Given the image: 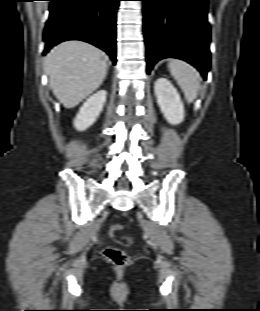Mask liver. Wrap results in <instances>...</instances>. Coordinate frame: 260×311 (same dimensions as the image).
<instances>
[{"label": "liver", "mask_w": 260, "mask_h": 311, "mask_svg": "<svg viewBox=\"0 0 260 311\" xmlns=\"http://www.w3.org/2000/svg\"><path fill=\"white\" fill-rule=\"evenodd\" d=\"M104 53L82 41H66L44 59L55 97L66 108H73L102 84L107 74Z\"/></svg>", "instance_id": "1"}]
</instances>
